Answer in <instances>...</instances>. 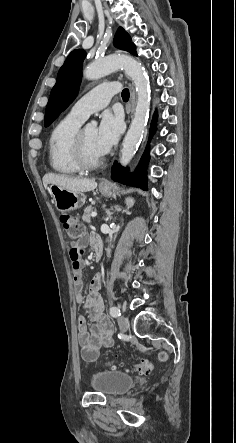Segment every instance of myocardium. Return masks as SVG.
<instances>
[{
	"label": "myocardium",
	"mask_w": 236,
	"mask_h": 443,
	"mask_svg": "<svg viewBox=\"0 0 236 443\" xmlns=\"http://www.w3.org/2000/svg\"><path fill=\"white\" fill-rule=\"evenodd\" d=\"M84 128H79L72 142V156L75 164L80 170L90 171L98 168L103 161V155L89 158L86 154L83 138Z\"/></svg>",
	"instance_id": "obj_1"
}]
</instances>
